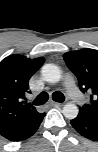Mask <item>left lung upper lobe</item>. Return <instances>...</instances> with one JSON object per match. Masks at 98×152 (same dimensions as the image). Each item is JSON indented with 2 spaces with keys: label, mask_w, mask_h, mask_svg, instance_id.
I'll return each instance as SVG.
<instances>
[{
  "label": "left lung upper lobe",
  "mask_w": 98,
  "mask_h": 152,
  "mask_svg": "<svg viewBox=\"0 0 98 152\" xmlns=\"http://www.w3.org/2000/svg\"><path fill=\"white\" fill-rule=\"evenodd\" d=\"M63 58L78 79L80 90L90 94V104H85L79 114L98 121V51L81 49L67 52Z\"/></svg>",
  "instance_id": "5c2ea615"
}]
</instances>
